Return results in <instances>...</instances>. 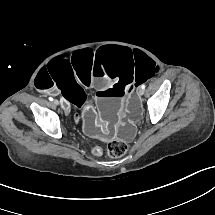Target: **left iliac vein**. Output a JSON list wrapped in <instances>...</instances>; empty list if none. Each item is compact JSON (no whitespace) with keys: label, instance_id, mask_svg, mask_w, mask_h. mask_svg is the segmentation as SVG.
Returning <instances> with one entry per match:
<instances>
[{"label":"left iliac vein","instance_id":"obj_1","mask_svg":"<svg viewBox=\"0 0 215 215\" xmlns=\"http://www.w3.org/2000/svg\"><path fill=\"white\" fill-rule=\"evenodd\" d=\"M138 94L143 95L144 94V89L140 86L138 89Z\"/></svg>","mask_w":215,"mask_h":215}]
</instances>
